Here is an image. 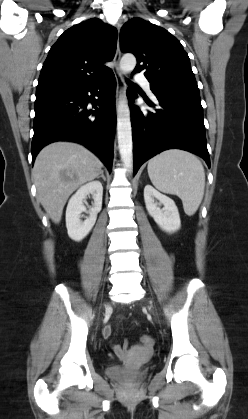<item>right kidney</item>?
<instances>
[{
  "label": "right kidney",
  "instance_id": "obj_1",
  "mask_svg": "<svg viewBox=\"0 0 248 419\" xmlns=\"http://www.w3.org/2000/svg\"><path fill=\"white\" fill-rule=\"evenodd\" d=\"M91 194L94 200L89 210V217L83 222L80 220L81 213L86 211L83 202L87 195ZM103 186L99 181H92L81 186L70 198L66 209V227L68 235L74 241H81L93 228L97 214L102 208Z\"/></svg>",
  "mask_w": 248,
  "mask_h": 419
}]
</instances>
